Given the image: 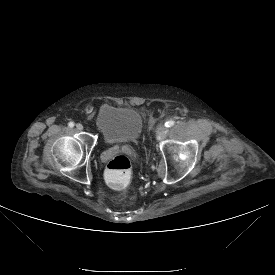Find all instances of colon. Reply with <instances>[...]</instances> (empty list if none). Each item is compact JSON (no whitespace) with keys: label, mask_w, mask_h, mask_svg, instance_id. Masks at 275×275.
<instances>
[{"label":"colon","mask_w":275,"mask_h":275,"mask_svg":"<svg viewBox=\"0 0 275 275\" xmlns=\"http://www.w3.org/2000/svg\"><path fill=\"white\" fill-rule=\"evenodd\" d=\"M132 162L123 154L114 155L107 163L105 169L106 180L113 186L125 187L131 177Z\"/></svg>","instance_id":"colon-1"}]
</instances>
